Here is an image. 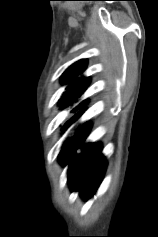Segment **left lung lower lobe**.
Listing matches in <instances>:
<instances>
[{"mask_svg":"<svg viewBox=\"0 0 158 237\" xmlns=\"http://www.w3.org/2000/svg\"><path fill=\"white\" fill-rule=\"evenodd\" d=\"M82 113L83 111L77 113L66 125L71 124ZM89 129L90 125L84 124L77 134L65 144L59 157L62 164L72 160L69 167V182L72 190H80L84 198H90L95 193L106 168L100 144L86 145L82 148L84 154L75 155L76 149L85 140Z\"/></svg>","mask_w":158,"mask_h":237,"instance_id":"obj_1","label":"left lung lower lobe"}]
</instances>
